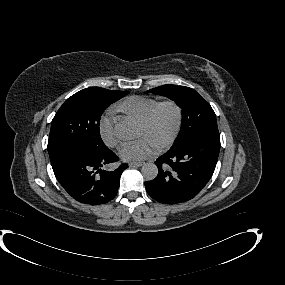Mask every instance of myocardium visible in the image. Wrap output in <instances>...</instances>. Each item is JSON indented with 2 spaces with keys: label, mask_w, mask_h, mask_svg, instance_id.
Here are the masks:
<instances>
[{
  "label": "myocardium",
  "mask_w": 285,
  "mask_h": 285,
  "mask_svg": "<svg viewBox=\"0 0 285 285\" xmlns=\"http://www.w3.org/2000/svg\"><path fill=\"white\" fill-rule=\"evenodd\" d=\"M171 107L174 110V118L170 129L161 139H154L151 135L154 133L158 123L162 119L166 108ZM182 108L181 106L171 100L161 101L152 115V117L143 125V133L149 137L158 148H165L169 146L178 135L182 124Z\"/></svg>",
  "instance_id": "myocardium-1"
}]
</instances>
